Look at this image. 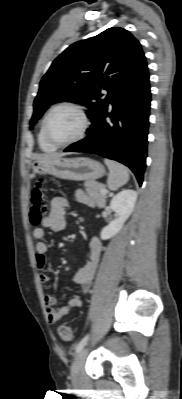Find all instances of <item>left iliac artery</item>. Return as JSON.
Instances as JSON below:
<instances>
[{"label": "left iliac artery", "instance_id": "1", "mask_svg": "<svg viewBox=\"0 0 182 399\" xmlns=\"http://www.w3.org/2000/svg\"><path fill=\"white\" fill-rule=\"evenodd\" d=\"M89 339V335L84 336L81 341L78 343V345L76 346V353L80 352L83 347L86 345L87 341Z\"/></svg>", "mask_w": 182, "mask_h": 399}]
</instances>
